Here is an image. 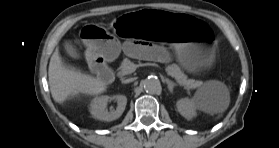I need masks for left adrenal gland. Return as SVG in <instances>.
Listing matches in <instances>:
<instances>
[{
    "label": "left adrenal gland",
    "mask_w": 279,
    "mask_h": 148,
    "mask_svg": "<svg viewBox=\"0 0 279 148\" xmlns=\"http://www.w3.org/2000/svg\"><path fill=\"white\" fill-rule=\"evenodd\" d=\"M166 83H167V85H168L169 91L173 94L174 87H176L177 84L174 83V82H172V81L169 80V79H166Z\"/></svg>",
    "instance_id": "left-adrenal-gland-1"
}]
</instances>
